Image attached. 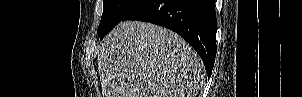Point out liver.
I'll return each mask as SVG.
<instances>
[{
  "instance_id": "obj_1",
  "label": "liver",
  "mask_w": 302,
  "mask_h": 97,
  "mask_svg": "<svg viewBox=\"0 0 302 97\" xmlns=\"http://www.w3.org/2000/svg\"><path fill=\"white\" fill-rule=\"evenodd\" d=\"M103 97H197L201 58L175 32L139 21L120 22L97 54Z\"/></svg>"
}]
</instances>
